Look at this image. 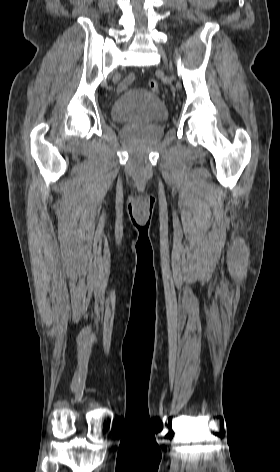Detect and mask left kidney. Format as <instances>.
<instances>
[{"instance_id": "obj_1", "label": "left kidney", "mask_w": 280, "mask_h": 472, "mask_svg": "<svg viewBox=\"0 0 280 472\" xmlns=\"http://www.w3.org/2000/svg\"><path fill=\"white\" fill-rule=\"evenodd\" d=\"M191 3L194 5H197L198 7H204L206 6V1L207 0H189Z\"/></svg>"}]
</instances>
